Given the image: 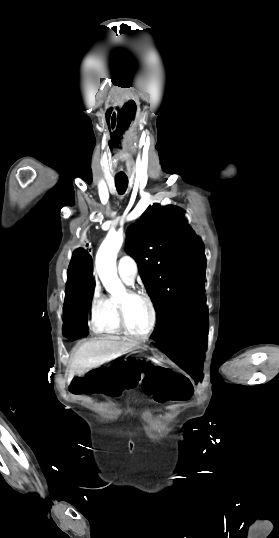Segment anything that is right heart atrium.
<instances>
[{"label":"right heart atrium","mask_w":279,"mask_h":538,"mask_svg":"<svg viewBox=\"0 0 279 538\" xmlns=\"http://www.w3.org/2000/svg\"><path fill=\"white\" fill-rule=\"evenodd\" d=\"M102 295H101V292H100V289L98 287H95L94 288V294H93V299H94V302H93V316L95 318H98L101 314V300H102Z\"/></svg>","instance_id":"right-heart-atrium-1"}]
</instances>
